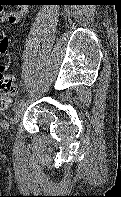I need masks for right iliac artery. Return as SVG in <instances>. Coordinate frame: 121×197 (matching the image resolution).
<instances>
[{
    "instance_id": "82829eb1",
    "label": "right iliac artery",
    "mask_w": 121,
    "mask_h": 197,
    "mask_svg": "<svg viewBox=\"0 0 121 197\" xmlns=\"http://www.w3.org/2000/svg\"><path fill=\"white\" fill-rule=\"evenodd\" d=\"M22 104H23V100L22 99L17 101L15 103L14 107H13V111H17L21 107Z\"/></svg>"
}]
</instances>
